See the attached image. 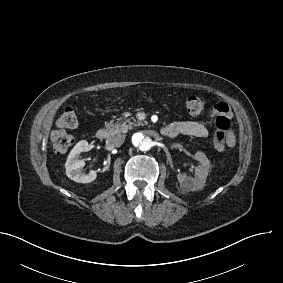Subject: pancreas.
I'll return each instance as SVG.
<instances>
[{"mask_svg":"<svg viewBox=\"0 0 283 283\" xmlns=\"http://www.w3.org/2000/svg\"><path fill=\"white\" fill-rule=\"evenodd\" d=\"M137 122L135 119H133V122L130 120H126L123 123H113V121H110L105 125L106 130L109 132V134H120V133H127L128 130L132 129L134 126H137Z\"/></svg>","mask_w":283,"mask_h":283,"instance_id":"1","label":"pancreas"}]
</instances>
